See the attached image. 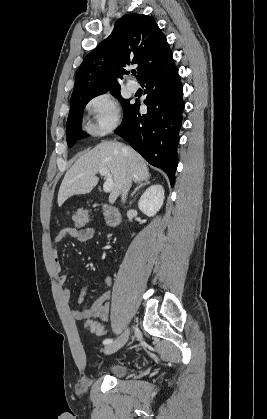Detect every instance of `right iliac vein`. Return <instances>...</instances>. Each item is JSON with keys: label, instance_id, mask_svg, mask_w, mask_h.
I'll return each instance as SVG.
<instances>
[{"label": "right iliac vein", "instance_id": "right-iliac-vein-1", "mask_svg": "<svg viewBox=\"0 0 267 419\" xmlns=\"http://www.w3.org/2000/svg\"><path fill=\"white\" fill-rule=\"evenodd\" d=\"M130 335V329L127 328L124 333L114 342L108 344L104 348L106 354H112L125 345Z\"/></svg>", "mask_w": 267, "mask_h": 419}]
</instances>
